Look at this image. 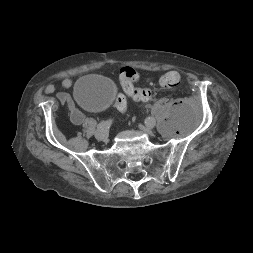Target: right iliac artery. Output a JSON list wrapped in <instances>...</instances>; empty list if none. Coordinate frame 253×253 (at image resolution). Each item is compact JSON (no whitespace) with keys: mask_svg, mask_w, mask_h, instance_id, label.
Listing matches in <instances>:
<instances>
[{"mask_svg":"<svg viewBox=\"0 0 253 253\" xmlns=\"http://www.w3.org/2000/svg\"><path fill=\"white\" fill-rule=\"evenodd\" d=\"M111 123H112L111 120L102 121L97 125V130H105V129L109 128Z\"/></svg>","mask_w":253,"mask_h":253,"instance_id":"1","label":"right iliac artery"}]
</instances>
